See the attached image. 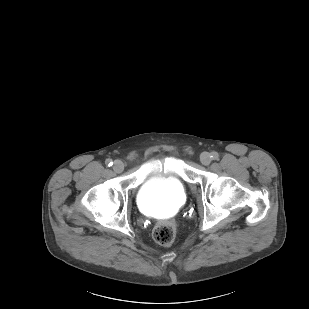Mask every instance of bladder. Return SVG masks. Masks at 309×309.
I'll return each mask as SVG.
<instances>
[{
  "label": "bladder",
  "instance_id": "31cf9c89",
  "mask_svg": "<svg viewBox=\"0 0 309 309\" xmlns=\"http://www.w3.org/2000/svg\"><path fill=\"white\" fill-rule=\"evenodd\" d=\"M186 199L183 182L174 176H154L146 179L136 196L138 207L152 216L176 212L183 207Z\"/></svg>",
  "mask_w": 309,
  "mask_h": 309
}]
</instances>
